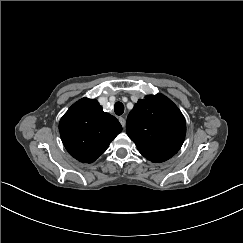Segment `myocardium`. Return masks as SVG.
Instances as JSON below:
<instances>
[{
	"instance_id": "myocardium-1",
	"label": "myocardium",
	"mask_w": 243,
	"mask_h": 243,
	"mask_svg": "<svg viewBox=\"0 0 243 243\" xmlns=\"http://www.w3.org/2000/svg\"><path fill=\"white\" fill-rule=\"evenodd\" d=\"M129 91V98L131 99V100H133V101H135L136 100V97H135V95H134V89H129L128 90Z\"/></svg>"
}]
</instances>
